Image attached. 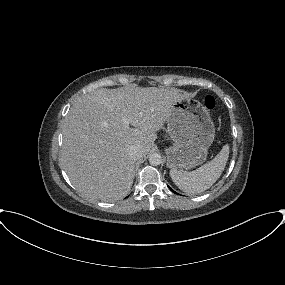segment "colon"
Listing matches in <instances>:
<instances>
[{
  "label": "colon",
  "mask_w": 285,
  "mask_h": 285,
  "mask_svg": "<svg viewBox=\"0 0 285 285\" xmlns=\"http://www.w3.org/2000/svg\"><path fill=\"white\" fill-rule=\"evenodd\" d=\"M204 106L208 109V110H213L216 106V101L214 99V97L208 95L204 98Z\"/></svg>",
  "instance_id": "5ec220e1"
}]
</instances>
